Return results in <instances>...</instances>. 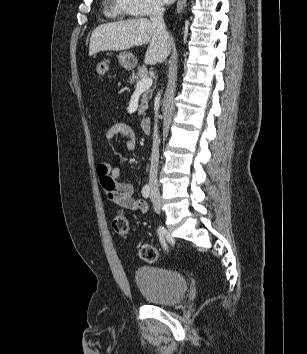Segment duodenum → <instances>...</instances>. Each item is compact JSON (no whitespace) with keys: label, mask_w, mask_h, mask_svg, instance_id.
<instances>
[{"label":"duodenum","mask_w":307,"mask_h":354,"mask_svg":"<svg viewBox=\"0 0 307 354\" xmlns=\"http://www.w3.org/2000/svg\"><path fill=\"white\" fill-rule=\"evenodd\" d=\"M140 126H141L142 130L144 131V133L149 134L151 132V128H152L151 118H149V117L142 118L140 121Z\"/></svg>","instance_id":"duodenum-1"}]
</instances>
